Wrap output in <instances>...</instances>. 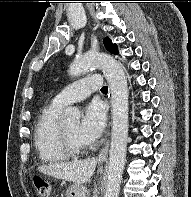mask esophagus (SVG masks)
Wrapping results in <instances>:
<instances>
[{
    "label": "esophagus",
    "mask_w": 191,
    "mask_h": 197,
    "mask_svg": "<svg viewBox=\"0 0 191 197\" xmlns=\"http://www.w3.org/2000/svg\"><path fill=\"white\" fill-rule=\"evenodd\" d=\"M109 144H110V141H109V139H107L106 142H105L104 147L101 149V151L99 153V156H98V159L100 161H104V160L107 159L108 151H109Z\"/></svg>",
    "instance_id": "1"
}]
</instances>
